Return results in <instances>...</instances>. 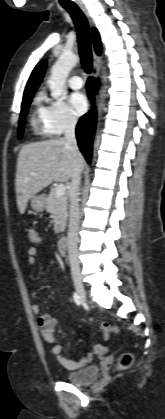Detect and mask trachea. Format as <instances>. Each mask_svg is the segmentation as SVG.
Segmentation results:
<instances>
[{"label": "trachea", "instance_id": "trachea-1", "mask_svg": "<svg viewBox=\"0 0 165 419\" xmlns=\"http://www.w3.org/2000/svg\"><path fill=\"white\" fill-rule=\"evenodd\" d=\"M64 8L71 15L76 27L82 68L86 73H90L92 70V53L87 19L81 9L76 5L64 6Z\"/></svg>", "mask_w": 165, "mask_h": 419}]
</instances>
